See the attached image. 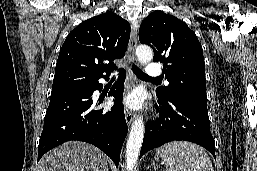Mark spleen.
Listing matches in <instances>:
<instances>
[{
    "instance_id": "spleen-1",
    "label": "spleen",
    "mask_w": 257,
    "mask_h": 171,
    "mask_svg": "<svg viewBox=\"0 0 257 171\" xmlns=\"http://www.w3.org/2000/svg\"><path fill=\"white\" fill-rule=\"evenodd\" d=\"M161 154L166 171H214L206 151L190 142L168 143L162 148Z\"/></svg>"
}]
</instances>
